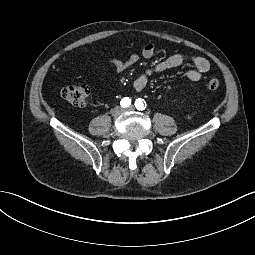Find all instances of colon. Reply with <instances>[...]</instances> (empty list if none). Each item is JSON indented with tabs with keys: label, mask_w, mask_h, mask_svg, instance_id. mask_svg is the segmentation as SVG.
I'll return each mask as SVG.
<instances>
[{
	"label": "colon",
	"mask_w": 255,
	"mask_h": 255,
	"mask_svg": "<svg viewBox=\"0 0 255 255\" xmlns=\"http://www.w3.org/2000/svg\"><path fill=\"white\" fill-rule=\"evenodd\" d=\"M220 87L217 79H211L207 82V88L210 91H216ZM61 97L75 106H83L86 104L89 95V88L86 85H70L61 89Z\"/></svg>",
	"instance_id": "colon-1"
}]
</instances>
